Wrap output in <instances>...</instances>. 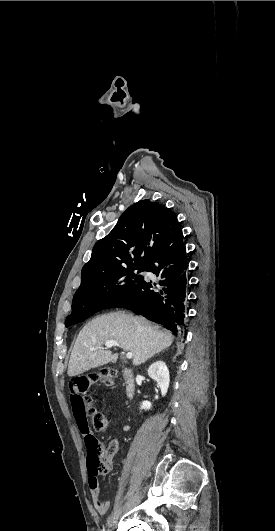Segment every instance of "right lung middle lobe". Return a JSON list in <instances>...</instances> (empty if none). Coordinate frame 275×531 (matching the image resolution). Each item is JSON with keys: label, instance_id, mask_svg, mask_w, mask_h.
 I'll list each match as a JSON object with an SVG mask.
<instances>
[{"label": "right lung middle lobe", "instance_id": "1", "mask_svg": "<svg viewBox=\"0 0 275 531\" xmlns=\"http://www.w3.org/2000/svg\"><path fill=\"white\" fill-rule=\"evenodd\" d=\"M142 271H146V266L124 267L80 286L73 297L72 313L66 318L65 326L82 322L98 311L125 302L144 279L139 274Z\"/></svg>", "mask_w": 275, "mask_h": 531}]
</instances>
